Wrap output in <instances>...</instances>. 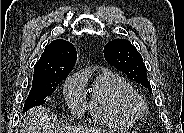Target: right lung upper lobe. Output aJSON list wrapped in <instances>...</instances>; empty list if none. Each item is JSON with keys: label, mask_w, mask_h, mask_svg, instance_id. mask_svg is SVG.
Instances as JSON below:
<instances>
[{"label": "right lung upper lobe", "mask_w": 184, "mask_h": 133, "mask_svg": "<svg viewBox=\"0 0 184 133\" xmlns=\"http://www.w3.org/2000/svg\"><path fill=\"white\" fill-rule=\"evenodd\" d=\"M76 57L73 44L62 39L52 41L34 66L32 85H46L55 78H67L76 63Z\"/></svg>", "instance_id": "right-lung-upper-lobe-1"}]
</instances>
